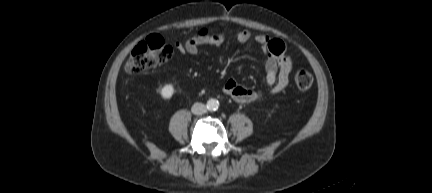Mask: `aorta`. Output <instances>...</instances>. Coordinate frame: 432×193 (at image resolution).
I'll list each match as a JSON object with an SVG mask.
<instances>
[{
	"instance_id": "aorta-1",
	"label": "aorta",
	"mask_w": 432,
	"mask_h": 193,
	"mask_svg": "<svg viewBox=\"0 0 432 193\" xmlns=\"http://www.w3.org/2000/svg\"><path fill=\"white\" fill-rule=\"evenodd\" d=\"M218 107H219V101L218 100H216V99H209L208 100V102H207V108L210 111H215V110L218 109Z\"/></svg>"
}]
</instances>
